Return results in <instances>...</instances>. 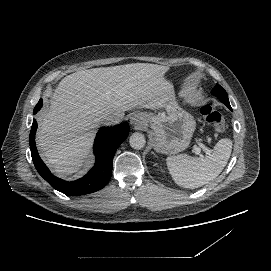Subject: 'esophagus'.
<instances>
[{"instance_id":"1","label":"esophagus","mask_w":271,"mask_h":271,"mask_svg":"<svg viewBox=\"0 0 271 271\" xmlns=\"http://www.w3.org/2000/svg\"><path fill=\"white\" fill-rule=\"evenodd\" d=\"M130 123L136 129H143L146 125L145 120L138 115L131 117Z\"/></svg>"}]
</instances>
